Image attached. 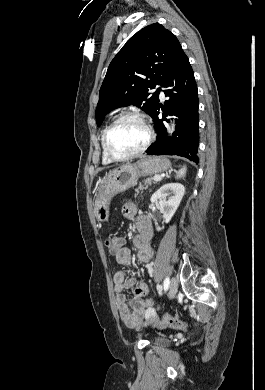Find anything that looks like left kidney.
<instances>
[{"label":"left kidney","instance_id":"obj_1","mask_svg":"<svg viewBox=\"0 0 265 390\" xmlns=\"http://www.w3.org/2000/svg\"><path fill=\"white\" fill-rule=\"evenodd\" d=\"M185 187L180 183H169L163 185L151 196V203H158V209L166 221L170 222L171 218L175 214L179 204L184 196ZM167 195L170 197L167 199ZM157 230H161L157 226Z\"/></svg>","mask_w":265,"mask_h":390}]
</instances>
